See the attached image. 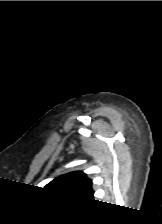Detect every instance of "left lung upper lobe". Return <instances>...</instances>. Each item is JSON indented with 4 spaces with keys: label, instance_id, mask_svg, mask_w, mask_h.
<instances>
[{
    "label": "left lung upper lobe",
    "instance_id": "obj_1",
    "mask_svg": "<svg viewBox=\"0 0 162 224\" xmlns=\"http://www.w3.org/2000/svg\"><path fill=\"white\" fill-rule=\"evenodd\" d=\"M47 190L76 198H93L92 181L81 171L55 178L45 187Z\"/></svg>",
    "mask_w": 162,
    "mask_h": 224
}]
</instances>
